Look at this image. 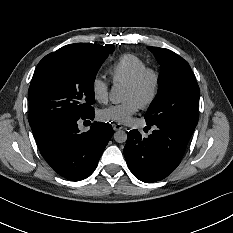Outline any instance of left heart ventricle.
<instances>
[{
	"label": "left heart ventricle",
	"instance_id": "left-heart-ventricle-1",
	"mask_svg": "<svg viewBox=\"0 0 233 233\" xmlns=\"http://www.w3.org/2000/svg\"><path fill=\"white\" fill-rule=\"evenodd\" d=\"M152 85L153 79L151 76H148L139 88L132 89L125 87L124 100L135 99L142 104L149 96Z\"/></svg>",
	"mask_w": 233,
	"mask_h": 233
}]
</instances>
